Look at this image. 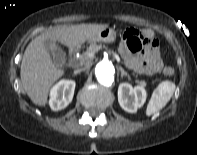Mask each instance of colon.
Instances as JSON below:
<instances>
[{"label": "colon", "instance_id": "5ec220e1", "mask_svg": "<svg viewBox=\"0 0 197 155\" xmlns=\"http://www.w3.org/2000/svg\"><path fill=\"white\" fill-rule=\"evenodd\" d=\"M124 38L127 41L128 48L131 51H140L147 46L157 45L156 39L151 35H143L139 30L135 28H129L124 33ZM174 73L173 68L166 67L164 74L172 75Z\"/></svg>", "mask_w": 197, "mask_h": 155}]
</instances>
